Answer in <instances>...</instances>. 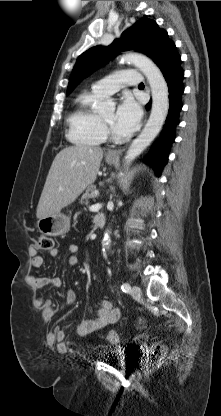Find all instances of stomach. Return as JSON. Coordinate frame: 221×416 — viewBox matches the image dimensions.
Instances as JSON below:
<instances>
[{"instance_id":"stomach-1","label":"stomach","mask_w":221,"mask_h":416,"mask_svg":"<svg viewBox=\"0 0 221 416\" xmlns=\"http://www.w3.org/2000/svg\"><path fill=\"white\" fill-rule=\"evenodd\" d=\"M109 165L118 162L117 159L111 160L106 158ZM37 227L43 235L59 236L65 234L70 228V218L62 213H57L38 220Z\"/></svg>"}]
</instances>
